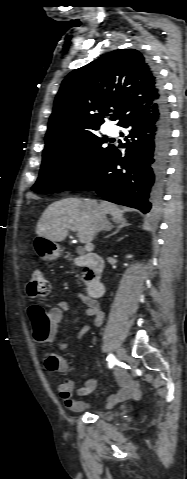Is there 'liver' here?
Returning <instances> with one entry per match:
<instances>
[{
    "label": "liver",
    "instance_id": "obj_1",
    "mask_svg": "<svg viewBox=\"0 0 187 479\" xmlns=\"http://www.w3.org/2000/svg\"><path fill=\"white\" fill-rule=\"evenodd\" d=\"M91 202L96 203L113 221L125 222L123 211L115 204L78 198H65L50 204L40 217L36 234L53 242H61L71 227L77 232L79 241L90 243L97 231ZM107 229H111L110 226Z\"/></svg>",
    "mask_w": 187,
    "mask_h": 479
}]
</instances>
